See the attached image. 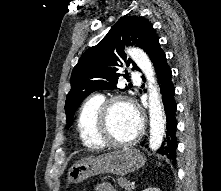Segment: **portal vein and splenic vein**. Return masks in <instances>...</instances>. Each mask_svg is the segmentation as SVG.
Segmentation results:
<instances>
[{
    "mask_svg": "<svg viewBox=\"0 0 221 191\" xmlns=\"http://www.w3.org/2000/svg\"><path fill=\"white\" fill-rule=\"evenodd\" d=\"M131 187L134 188V182L131 183Z\"/></svg>",
    "mask_w": 221,
    "mask_h": 191,
    "instance_id": "18ae733b",
    "label": "portal vein and splenic vein"
}]
</instances>
